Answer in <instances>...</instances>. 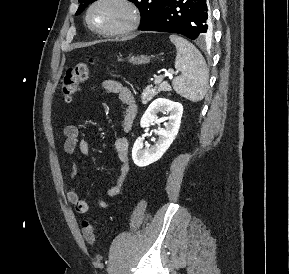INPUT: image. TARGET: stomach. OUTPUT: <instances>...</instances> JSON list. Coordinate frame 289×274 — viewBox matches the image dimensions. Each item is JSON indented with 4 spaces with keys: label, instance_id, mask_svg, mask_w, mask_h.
Segmentation results:
<instances>
[{
    "label": "stomach",
    "instance_id": "stomach-1",
    "mask_svg": "<svg viewBox=\"0 0 289 274\" xmlns=\"http://www.w3.org/2000/svg\"><path fill=\"white\" fill-rule=\"evenodd\" d=\"M129 61L133 64H145V63H149L150 57L141 55L139 57H131Z\"/></svg>",
    "mask_w": 289,
    "mask_h": 274
}]
</instances>
